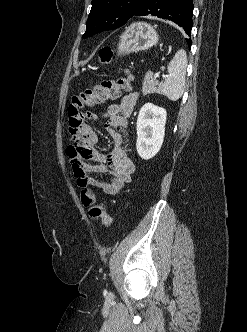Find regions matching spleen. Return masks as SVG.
Returning <instances> with one entry per match:
<instances>
[{
	"label": "spleen",
	"instance_id": "spleen-1",
	"mask_svg": "<svg viewBox=\"0 0 247 332\" xmlns=\"http://www.w3.org/2000/svg\"><path fill=\"white\" fill-rule=\"evenodd\" d=\"M187 56L183 49L178 50L168 64V77L160 83L157 89L159 94L167 96L172 101H177L184 93Z\"/></svg>",
	"mask_w": 247,
	"mask_h": 332
}]
</instances>
